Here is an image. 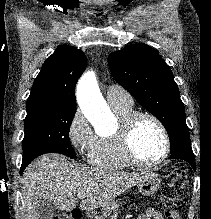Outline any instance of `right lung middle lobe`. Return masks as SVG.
Returning <instances> with one entry per match:
<instances>
[{
	"instance_id": "dd1d6c3e",
	"label": "right lung middle lobe",
	"mask_w": 211,
	"mask_h": 219,
	"mask_svg": "<svg viewBox=\"0 0 211 219\" xmlns=\"http://www.w3.org/2000/svg\"><path fill=\"white\" fill-rule=\"evenodd\" d=\"M75 111V108L58 107L48 102L27 103L23 161L51 152L76 158L69 139Z\"/></svg>"
}]
</instances>
